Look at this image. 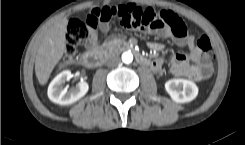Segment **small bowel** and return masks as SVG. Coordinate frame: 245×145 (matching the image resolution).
Segmentation results:
<instances>
[{
	"mask_svg": "<svg viewBox=\"0 0 245 145\" xmlns=\"http://www.w3.org/2000/svg\"><path fill=\"white\" fill-rule=\"evenodd\" d=\"M175 19L181 21L178 17L174 16ZM101 28L104 31H109L111 26L109 23L104 22L101 24ZM159 38H167L169 37L171 30L169 27H162L153 32ZM184 42H180L179 45H183ZM153 48H157L158 45H152ZM191 60L193 61V65L189 69V75L199 77L205 70V67L208 64V60L206 57L200 55V53L196 50H192L190 55ZM173 73L176 75H181L184 73L183 71V58L177 56L173 61Z\"/></svg>",
	"mask_w": 245,
	"mask_h": 145,
	"instance_id": "obj_1",
	"label": "small bowel"
}]
</instances>
